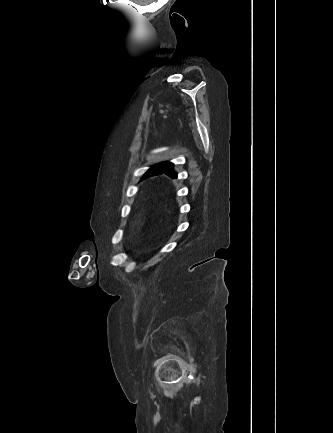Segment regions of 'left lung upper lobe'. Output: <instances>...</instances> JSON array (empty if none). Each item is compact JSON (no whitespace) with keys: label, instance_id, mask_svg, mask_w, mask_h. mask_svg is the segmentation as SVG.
I'll use <instances>...</instances> for the list:
<instances>
[{"label":"left lung upper lobe","instance_id":"1","mask_svg":"<svg viewBox=\"0 0 333 433\" xmlns=\"http://www.w3.org/2000/svg\"><path fill=\"white\" fill-rule=\"evenodd\" d=\"M172 168H173V164L172 163H170V162H163V163H160V164H157V165L153 166L147 173H148V176L158 175V174H161L162 170H163L165 174H168V175L172 176L173 178H176L177 175L172 170Z\"/></svg>","mask_w":333,"mask_h":433}]
</instances>
